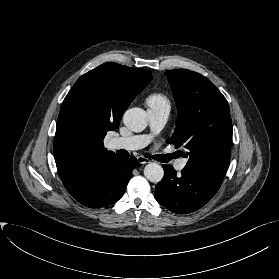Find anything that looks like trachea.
I'll list each match as a JSON object with an SVG mask.
<instances>
[{"label": "trachea", "instance_id": "1", "mask_svg": "<svg viewBox=\"0 0 279 279\" xmlns=\"http://www.w3.org/2000/svg\"><path fill=\"white\" fill-rule=\"evenodd\" d=\"M166 157H167V160H171L174 157V155H167Z\"/></svg>", "mask_w": 279, "mask_h": 279}]
</instances>
